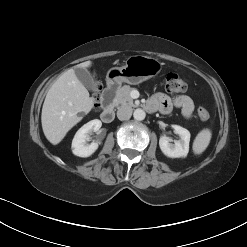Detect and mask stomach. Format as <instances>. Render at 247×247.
<instances>
[{"label": "stomach", "mask_w": 247, "mask_h": 247, "mask_svg": "<svg viewBox=\"0 0 247 247\" xmlns=\"http://www.w3.org/2000/svg\"><path fill=\"white\" fill-rule=\"evenodd\" d=\"M162 64L155 58L133 55L126 59L122 67L111 68L106 75L107 83L120 85L125 82L137 85L160 73Z\"/></svg>", "instance_id": "0dacf381"}]
</instances>
